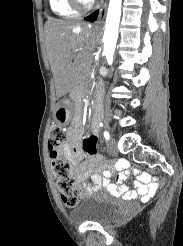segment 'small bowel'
<instances>
[{"label":"small bowel","instance_id":"obj_1","mask_svg":"<svg viewBox=\"0 0 183 246\" xmlns=\"http://www.w3.org/2000/svg\"><path fill=\"white\" fill-rule=\"evenodd\" d=\"M92 133L97 135L99 126L97 123L92 124ZM64 154L68 160H70L75 166V176L79 181L80 188L85 192V195H90L94 190L103 186L104 191H110L118 196L126 199H135L137 197L142 198H155V194H158L160 190V177H150V170H143V175H138L135 181L136 191H131L122 182L126 179L128 174H140V169H127V160H116V165L119 168L124 169L123 172L117 174V183L110 181L113 173V169H104L102 174L93 173L92 170L95 167L101 168L99 157H89V154L83 147V141L81 142V134L76 129H70L68 131V138L63 147ZM90 176V182L87 186L83 183V180ZM129 183L133 182L132 178L128 179Z\"/></svg>","mask_w":183,"mask_h":246}]
</instances>
